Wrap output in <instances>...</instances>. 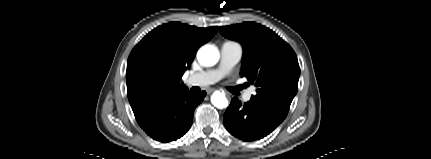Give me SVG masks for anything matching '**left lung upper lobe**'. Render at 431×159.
<instances>
[{"label": "left lung upper lobe", "mask_w": 431, "mask_h": 159, "mask_svg": "<svg viewBox=\"0 0 431 159\" xmlns=\"http://www.w3.org/2000/svg\"><path fill=\"white\" fill-rule=\"evenodd\" d=\"M219 31L243 46L240 75L257 87L251 98L289 110L300 76L297 56L289 44L255 22L220 27Z\"/></svg>", "instance_id": "left-lung-upper-lobe-1"}]
</instances>
